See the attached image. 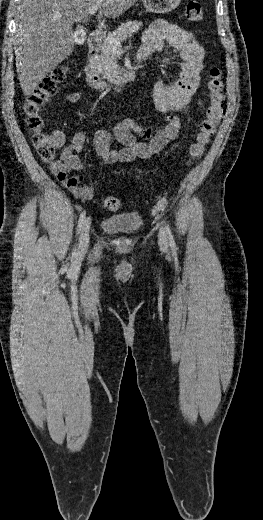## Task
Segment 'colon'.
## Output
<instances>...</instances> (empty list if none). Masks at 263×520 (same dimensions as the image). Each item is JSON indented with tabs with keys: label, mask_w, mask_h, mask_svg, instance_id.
<instances>
[{
	"label": "colon",
	"mask_w": 263,
	"mask_h": 520,
	"mask_svg": "<svg viewBox=\"0 0 263 520\" xmlns=\"http://www.w3.org/2000/svg\"><path fill=\"white\" fill-rule=\"evenodd\" d=\"M185 16L190 22H201L203 20L201 5L198 2L190 1L186 6ZM66 72L67 69L64 66L55 68L32 91L24 106L26 125L32 132L33 145L41 160L45 162L54 159L58 145L52 136L43 132L44 123L41 111L43 106L57 93L60 84L66 77ZM207 88L209 104L206 107L204 119L199 125L196 139L189 149L191 161L202 156L223 116V73L219 67L210 68ZM103 204L111 212H116L121 208L120 200L113 196L106 197Z\"/></svg>",
	"instance_id": "colon-1"
}]
</instances>
